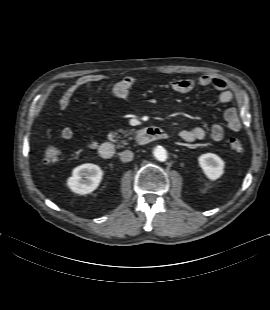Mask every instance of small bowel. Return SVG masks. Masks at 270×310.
<instances>
[{"instance_id":"obj_1","label":"small bowel","mask_w":270,"mask_h":310,"mask_svg":"<svg viewBox=\"0 0 270 310\" xmlns=\"http://www.w3.org/2000/svg\"><path fill=\"white\" fill-rule=\"evenodd\" d=\"M107 79L108 77L103 74H88L79 77L73 84L65 89L58 100V107L61 110H65L78 90L101 83ZM134 83L135 79L131 76H127L116 82L111 88L113 97L117 100H124L128 96ZM196 84L215 88L219 92L218 101L221 104L229 103L234 98V93L229 89L226 81L210 74L200 76L197 83L192 79H177L172 82L171 87L175 92L184 94L193 91ZM224 116L229 130L238 132L242 128V123L236 108L230 107L226 109ZM209 134L213 140L220 141L225 134L224 127L220 124H214L210 128ZM61 136L65 140H70L74 138L75 131L71 127H64L61 130ZM179 136L186 142H194L205 139L207 132L199 126H191L182 130ZM83 144L89 149H95L97 147V142L91 139L83 140Z\"/></svg>"}]
</instances>
